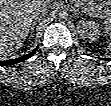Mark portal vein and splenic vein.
<instances>
[{
    "label": "portal vein and splenic vein",
    "instance_id": "1",
    "mask_svg": "<svg viewBox=\"0 0 111 106\" xmlns=\"http://www.w3.org/2000/svg\"><path fill=\"white\" fill-rule=\"evenodd\" d=\"M77 5L81 6V3H80V1H77Z\"/></svg>",
    "mask_w": 111,
    "mask_h": 106
}]
</instances>
